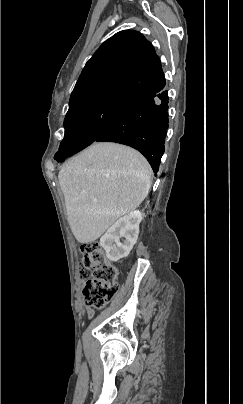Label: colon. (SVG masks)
<instances>
[{"mask_svg":"<svg viewBox=\"0 0 243 404\" xmlns=\"http://www.w3.org/2000/svg\"><path fill=\"white\" fill-rule=\"evenodd\" d=\"M83 267L80 276L83 279V298L90 308L101 309L118 292L119 271L106 256L97 242H86L81 246ZM89 271H92L88 278Z\"/></svg>","mask_w":243,"mask_h":404,"instance_id":"obj_1","label":"colon"}]
</instances>
